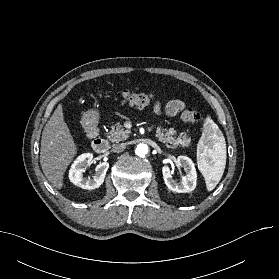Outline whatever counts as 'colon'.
<instances>
[{
    "mask_svg": "<svg viewBox=\"0 0 279 279\" xmlns=\"http://www.w3.org/2000/svg\"><path fill=\"white\" fill-rule=\"evenodd\" d=\"M119 97L123 103H126L135 107L147 106L153 99V94L134 92L130 90H122L119 93ZM181 118L188 123H194L201 120L202 115L200 111L194 107L186 109Z\"/></svg>",
    "mask_w": 279,
    "mask_h": 279,
    "instance_id": "1",
    "label": "colon"
}]
</instances>
